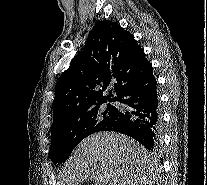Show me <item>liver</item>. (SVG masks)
Listing matches in <instances>:
<instances>
[{"label":"liver","mask_w":207,"mask_h":185,"mask_svg":"<svg viewBox=\"0 0 207 185\" xmlns=\"http://www.w3.org/2000/svg\"><path fill=\"white\" fill-rule=\"evenodd\" d=\"M155 163L135 139L101 131L83 139L66 161L61 185H152Z\"/></svg>","instance_id":"liver-1"}]
</instances>
